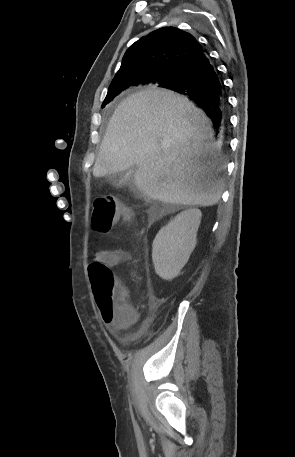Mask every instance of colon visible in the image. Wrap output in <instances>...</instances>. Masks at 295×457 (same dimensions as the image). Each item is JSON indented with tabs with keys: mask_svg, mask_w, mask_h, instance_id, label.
I'll return each mask as SVG.
<instances>
[{
	"mask_svg": "<svg viewBox=\"0 0 295 457\" xmlns=\"http://www.w3.org/2000/svg\"><path fill=\"white\" fill-rule=\"evenodd\" d=\"M120 216H128V211L113 196H101L94 202L91 224L95 231L108 233ZM88 272L102 318L128 319L127 288L119 284L109 267L101 262L90 263Z\"/></svg>",
	"mask_w": 295,
	"mask_h": 457,
	"instance_id": "1",
	"label": "colon"
}]
</instances>
